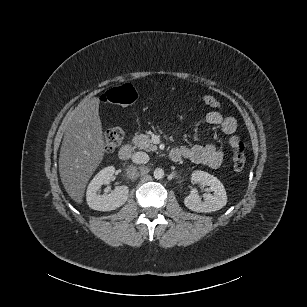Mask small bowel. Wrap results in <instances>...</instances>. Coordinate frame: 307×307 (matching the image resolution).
Instances as JSON below:
<instances>
[{"label":"small bowel","instance_id":"small-bowel-1","mask_svg":"<svg viewBox=\"0 0 307 307\" xmlns=\"http://www.w3.org/2000/svg\"><path fill=\"white\" fill-rule=\"evenodd\" d=\"M206 121L212 126H218L225 134L232 135L230 145L233 147L237 141H241L240 137L233 135L237 129V121L234 117H224L218 111H210L206 115ZM174 156L173 161L182 159L190 160L196 164L204 165L210 168H217L224 159V153L214 144L181 146L172 150Z\"/></svg>","mask_w":307,"mask_h":307}]
</instances>
